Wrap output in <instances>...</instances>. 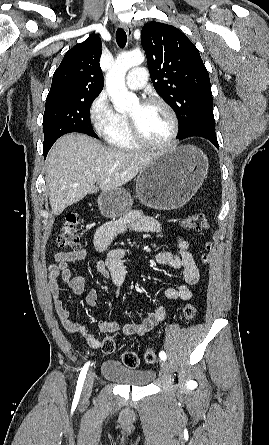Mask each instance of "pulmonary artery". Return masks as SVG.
I'll use <instances>...</instances> for the list:
<instances>
[{
  "instance_id": "e3ab8cb5",
  "label": "pulmonary artery",
  "mask_w": 269,
  "mask_h": 445,
  "mask_svg": "<svg viewBox=\"0 0 269 445\" xmlns=\"http://www.w3.org/2000/svg\"><path fill=\"white\" fill-rule=\"evenodd\" d=\"M147 79V69L144 67H136L128 73L126 77V85L132 90H138L145 86Z\"/></svg>"
}]
</instances>
